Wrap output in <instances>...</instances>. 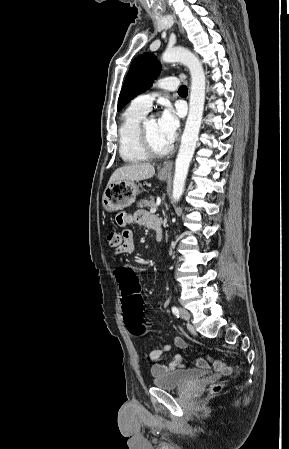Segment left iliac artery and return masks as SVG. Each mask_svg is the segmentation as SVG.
<instances>
[{
	"label": "left iliac artery",
	"mask_w": 289,
	"mask_h": 449,
	"mask_svg": "<svg viewBox=\"0 0 289 449\" xmlns=\"http://www.w3.org/2000/svg\"><path fill=\"white\" fill-rule=\"evenodd\" d=\"M172 312L174 315H176L177 317H179V309L176 306L172 307Z\"/></svg>",
	"instance_id": "left-iliac-artery-1"
}]
</instances>
